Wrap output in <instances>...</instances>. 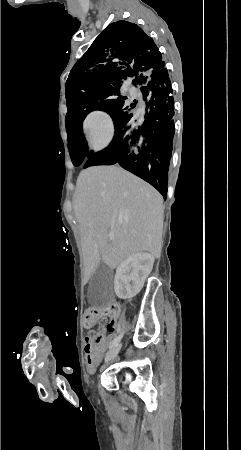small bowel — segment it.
Masks as SVG:
<instances>
[{"label":"small bowel","instance_id":"obj_1","mask_svg":"<svg viewBox=\"0 0 241 450\" xmlns=\"http://www.w3.org/2000/svg\"><path fill=\"white\" fill-rule=\"evenodd\" d=\"M87 328H91L85 324ZM119 326L117 319L108 322L105 328L86 336L84 341L85 358L90 373L95 372L101 354L109 347L112 342V336L106 335V331L113 332ZM93 327V326H92ZM110 327L114 328L113 330Z\"/></svg>","mask_w":241,"mask_h":450}]
</instances>
